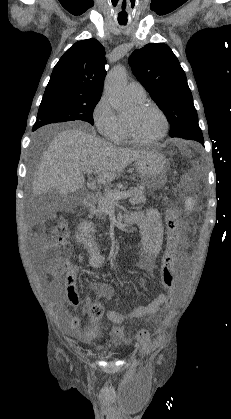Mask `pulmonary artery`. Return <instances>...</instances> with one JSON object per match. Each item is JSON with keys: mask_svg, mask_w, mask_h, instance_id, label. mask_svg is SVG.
<instances>
[{"mask_svg": "<svg viewBox=\"0 0 231 419\" xmlns=\"http://www.w3.org/2000/svg\"><path fill=\"white\" fill-rule=\"evenodd\" d=\"M128 93L131 97L144 100L146 97V90L138 81H132L128 85Z\"/></svg>", "mask_w": 231, "mask_h": 419, "instance_id": "pulmonary-artery-1", "label": "pulmonary artery"}]
</instances>
